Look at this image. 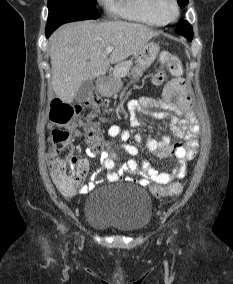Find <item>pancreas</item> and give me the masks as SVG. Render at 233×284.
Here are the masks:
<instances>
[{
	"label": "pancreas",
	"mask_w": 233,
	"mask_h": 284,
	"mask_svg": "<svg viewBox=\"0 0 233 284\" xmlns=\"http://www.w3.org/2000/svg\"><path fill=\"white\" fill-rule=\"evenodd\" d=\"M132 66V61H124L122 63H120L119 65H117V67L115 68V73L118 77H125L130 68Z\"/></svg>",
	"instance_id": "1"
}]
</instances>
